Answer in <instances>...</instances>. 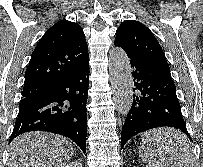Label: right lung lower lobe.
Returning <instances> with one entry per match:
<instances>
[{"mask_svg":"<svg viewBox=\"0 0 203 167\" xmlns=\"http://www.w3.org/2000/svg\"><path fill=\"white\" fill-rule=\"evenodd\" d=\"M88 62L60 80L46 94L20 101L9 142L22 133L40 130L69 137L86 152Z\"/></svg>","mask_w":203,"mask_h":167,"instance_id":"obj_1","label":"right lung lower lobe"}]
</instances>
